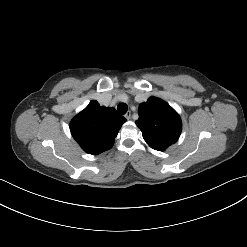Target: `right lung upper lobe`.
<instances>
[{"instance_id": "1", "label": "right lung upper lobe", "mask_w": 247, "mask_h": 247, "mask_svg": "<svg viewBox=\"0 0 247 247\" xmlns=\"http://www.w3.org/2000/svg\"><path fill=\"white\" fill-rule=\"evenodd\" d=\"M126 119L114 108L100 106L97 101L77 114L70 123L73 138L81 148L92 155L109 150Z\"/></svg>"}]
</instances>
